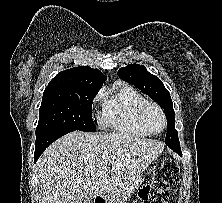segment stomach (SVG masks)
I'll use <instances>...</instances> for the list:
<instances>
[{
    "instance_id": "obj_1",
    "label": "stomach",
    "mask_w": 222,
    "mask_h": 203,
    "mask_svg": "<svg viewBox=\"0 0 222 203\" xmlns=\"http://www.w3.org/2000/svg\"><path fill=\"white\" fill-rule=\"evenodd\" d=\"M143 180V176L139 175L135 180L128 182L123 188L119 190L120 194L118 196L114 198L108 196V200L110 201L109 203H117V201H113L114 199L116 200V198H119V200L129 198L134 190L137 189L140 184H142Z\"/></svg>"
}]
</instances>
